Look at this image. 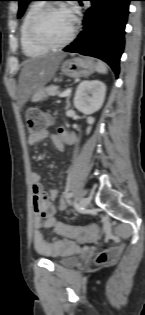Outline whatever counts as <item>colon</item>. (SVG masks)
Instances as JSON below:
<instances>
[{
	"label": "colon",
	"mask_w": 145,
	"mask_h": 315,
	"mask_svg": "<svg viewBox=\"0 0 145 315\" xmlns=\"http://www.w3.org/2000/svg\"><path fill=\"white\" fill-rule=\"evenodd\" d=\"M26 130L29 134H34L39 131L45 130L50 124V117L48 114L31 108L25 111ZM55 231L67 238L85 241L93 239L98 235V228L96 225L88 227H74L61 224L55 227ZM119 253L118 248H112L101 252L98 255L97 261L106 263L113 261Z\"/></svg>",
	"instance_id": "5ec220e1"
}]
</instances>
